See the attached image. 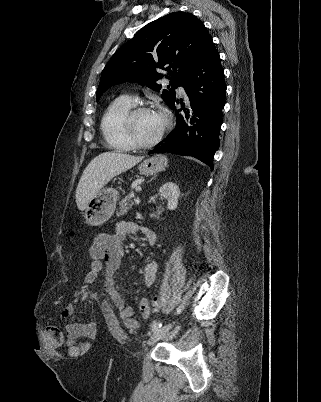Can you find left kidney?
Returning <instances> with one entry per match:
<instances>
[{
  "mask_svg": "<svg viewBox=\"0 0 321 402\" xmlns=\"http://www.w3.org/2000/svg\"><path fill=\"white\" fill-rule=\"evenodd\" d=\"M159 194L168 201L167 206L169 210H175L177 208L180 190L176 184L173 182L163 184L159 189ZM150 217H156V215L150 214Z\"/></svg>",
  "mask_w": 321,
  "mask_h": 402,
  "instance_id": "5707ae66",
  "label": "left kidney"
}]
</instances>
